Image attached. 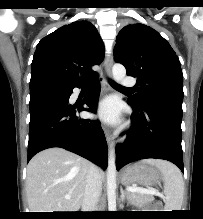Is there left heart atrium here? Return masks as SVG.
I'll use <instances>...</instances> for the list:
<instances>
[{
    "label": "left heart atrium",
    "mask_w": 203,
    "mask_h": 219,
    "mask_svg": "<svg viewBox=\"0 0 203 219\" xmlns=\"http://www.w3.org/2000/svg\"><path fill=\"white\" fill-rule=\"evenodd\" d=\"M98 116L109 123H115L119 119V106L114 99L102 101L98 107Z\"/></svg>",
    "instance_id": "1"
}]
</instances>
